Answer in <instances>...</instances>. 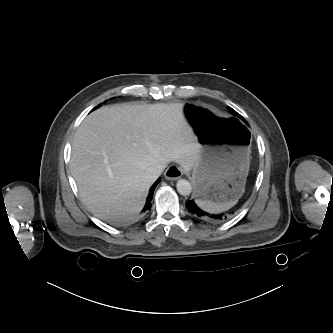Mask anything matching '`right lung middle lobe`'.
<instances>
[{
  "instance_id": "dd1d6c3e",
  "label": "right lung middle lobe",
  "mask_w": 333,
  "mask_h": 333,
  "mask_svg": "<svg viewBox=\"0 0 333 333\" xmlns=\"http://www.w3.org/2000/svg\"><path fill=\"white\" fill-rule=\"evenodd\" d=\"M99 106H100V105H98V106H97V107H95L94 109L98 108ZM94 109H93V110H94Z\"/></svg>"
}]
</instances>
